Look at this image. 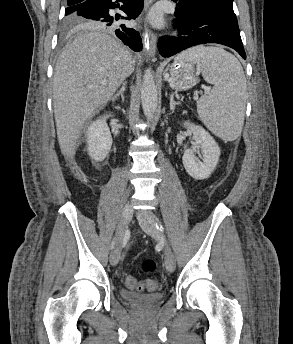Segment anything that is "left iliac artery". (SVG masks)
I'll use <instances>...</instances> for the list:
<instances>
[{
    "mask_svg": "<svg viewBox=\"0 0 293 344\" xmlns=\"http://www.w3.org/2000/svg\"><path fill=\"white\" fill-rule=\"evenodd\" d=\"M156 226H157V228H159V225H158V224H156ZM161 229H163V227L160 225V230H161Z\"/></svg>",
    "mask_w": 293,
    "mask_h": 344,
    "instance_id": "44dca946",
    "label": "left iliac artery"
}]
</instances>
